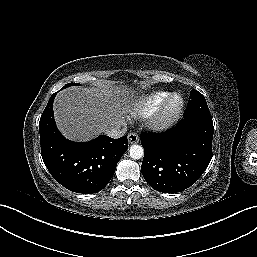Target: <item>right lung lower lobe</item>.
<instances>
[{
  "label": "right lung lower lobe",
  "instance_id": "obj_1",
  "mask_svg": "<svg viewBox=\"0 0 257 257\" xmlns=\"http://www.w3.org/2000/svg\"><path fill=\"white\" fill-rule=\"evenodd\" d=\"M52 94L39 122L41 155L62 186L76 193L91 194L102 190L113 177L116 165L128 148L127 136L112 139L100 135L78 143L67 140L56 127Z\"/></svg>",
  "mask_w": 257,
  "mask_h": 257
}]
</instances>
